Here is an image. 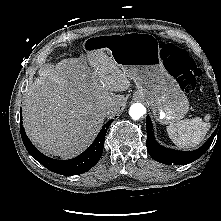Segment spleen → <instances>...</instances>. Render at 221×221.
<instances>
[{"mask_svg":"<svg viewBox=\"0 0 221 221\" xmlns=\"http://www.w3.org/2000/svg\"><path fill=\"white\" fill-rule=\"evenodd\" d=\"M210 115L204 119L196 117L177 121L167 126V133L172 142L180 148L190 149L198 146L210 128Z\"/></svg>","mask_w":221,"mask_h":221,"instance_id":"spleen-1","label":"spleen"}]
</instances>
